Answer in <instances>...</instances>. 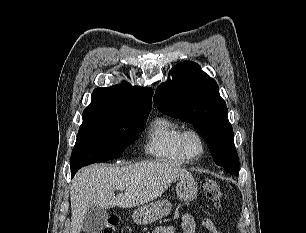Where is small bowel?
<instances>
[{
  "instance_id": "c3829d8e",
  "label": "small bowel",
  "mask_w": 306,
  "mask_h": 233,
  "mask_svg": "<svg viewBox=\"0 0 306 233\" xmlns=\"http://www.w3.org/2000/svg\"><path fill=\"white\" fill-rule=\"evenodd\" d=\"M203 227L210 233H222L220 232L214 222L210 218H204L202 220ZM196 223L191 214H184L182 217V231L183 233H195ZM156 230H160V233H175L174 226L160 227ZM154 233V232H153Z\"/></svg>"
}]
</instances>
